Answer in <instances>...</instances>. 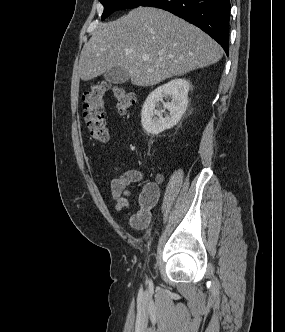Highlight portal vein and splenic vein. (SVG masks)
I'll return each instance as SVG.
<instances>
[{"label":"portal vein and splenic vein","instance_id":"portal-vein-and-splenic-vein-1","mask_svg":"<svg viewBox=\"0 0 285 332\" xmlns=\"http://www.w3.org/2000/svg\"><path fill=\"white\" fill-rule=\"evenodd\" d=\"M148 59H149L148 56H144V57H143V60H144V61H147Z\"/></svg>","mask_w":285,"mask_h":332}]
</instances>
